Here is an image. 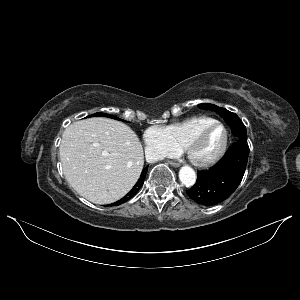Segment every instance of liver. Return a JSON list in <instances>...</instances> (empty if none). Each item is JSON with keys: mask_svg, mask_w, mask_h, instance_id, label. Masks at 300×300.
<instances>
[{"mask_svg": "<svg viewBox=\"0 0 300 300\" xmlns=\"http://www.w3.org/2000/svg\"><path fill=\"white\" fill-rule=\"evenodd\" d=\"M59 155L68 183L95 204L124 197L144 166L143 147L135 132L120 121L103 117L67 127Z\"/></svg>", "mask_w": 300, "mask_h": 300, "instance_id": "liver-1", "label": "liver"}]
</instances>
